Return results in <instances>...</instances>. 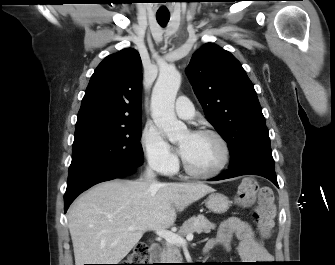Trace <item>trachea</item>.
I'll return each instance as SVG.
<instances>
[{"instance_id":"1","label":"trachea","mask_w":335,"mask_h":265,"mask_svg":"<svg viewBox=\"0 0 335 265\" xmlns=\"http://www.w3.org/2000/svg\"><path fill=\"white\" fill-rule=\"evenodd\" d=\"M156 18L158 23L162 26L165 27L166 24L168 23L170 19V14H156Z\"/></svg>"}]
</instances>
